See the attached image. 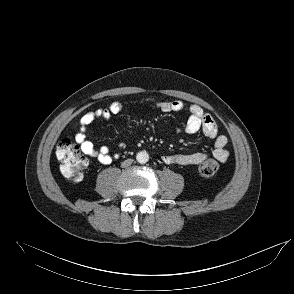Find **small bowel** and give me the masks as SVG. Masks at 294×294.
I'll return each mask as SVG.
<instances>
[{"label": "small bowel", "mask_w": 294, "mask_h": 294, "mask_svg": "<svg viewBox=\"0 0 294 294\" xmlns=\"http://www.w3.org/2000/svg\"><path fill=\"white\" fill-rule=\"evenodd\" d=\"M155 105L164 112H181L187 109L189 113L186 124L177 128V132L192 135L202 131L204 136L213 142V156L220 162H225L229 158V151L226 148L227 137L218 133L217 125L208 113L197 104H191L188 107L181 100L162 101ZM124 104L121 101H113L106 108H98L87 112L80 119V125L75 135V140L85 155L95 157L102 164H110L119 157V154H111L106 146L98 149L87 139V134L91 126L99 119L108 120L113 115L123 110ZM208 155L201 151L191 153H174L163 157V161L170 165H198Z\"/></svg>", "instance_id": "small-bowel-1"}]
</instances>
